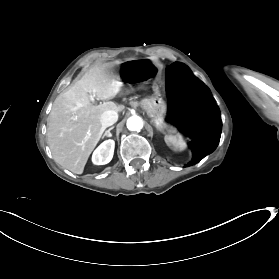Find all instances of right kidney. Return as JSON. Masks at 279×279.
Returning a JSON list of instances; mask_svg holds the SVG:
<instances>
[{
	"label": "right kidney",
	"instance_id": "obj_1",
	"mask_svg": "<svg viewBox=\"0 0 279 279\" xmlns=\"http://www.w3.org/2000/svg\"><path fill=\"white\" fill-rule=\"evenodd\" d=\"M115 142L108 139L102 142L93 152L92 162L95 165H105L112 160L114 154Z\"/></svg>",
	"mask_w": 279,
	"mask_h": 279
}]
</instances>
